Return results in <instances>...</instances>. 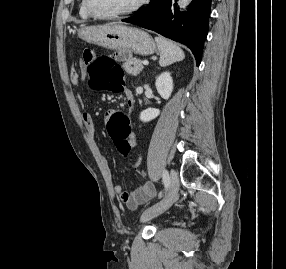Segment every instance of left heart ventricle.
Returning <instances> with one entry per match:
<instances>
[{"instance_id": "b2bd125f", "label": "left heart ventricle", "mask_w": 286, "mask_h": 269, "mask_svg": "<svg viewBox=\"0 0 286 269\" xmlns=\"http://www.w3.org/2000/svg\"><path fill=\"white\" fill-rule=\"evenodd\" d=\"M138 0H90L92 9L102 15L113 14L132 7Z\"/></svg>"}]
</instances>
